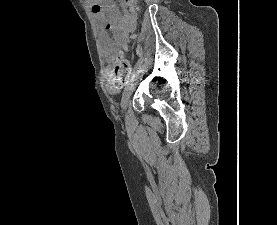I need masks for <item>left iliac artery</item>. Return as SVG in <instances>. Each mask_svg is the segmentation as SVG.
<instances>
[{
    "label": "left iliac artery",
    "instance_id": "obj_1",
    "mask_svg": "<svg viewBox=\"0 0 277 225\" xmlns=\"http://www.w3.org/2000/svg\"><path fill=\"white\" fill-rule=\"evenodd\" d=\"M141 71H142V68L139 66L136 70L133 71L132 77L136 76V75L139 74Z\"/></svg>",
    "mask_w": 277,
    "mask_h": 225
}]
</instances>
